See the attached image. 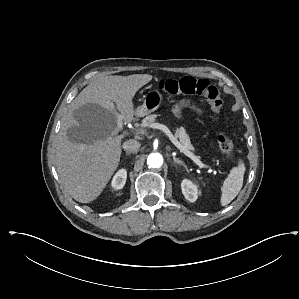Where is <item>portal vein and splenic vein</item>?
<instances>
[{"label":"portal vein and splenic vein","mask_w":299,"mask_h":299,"mask_svg":"<svg viewBox=\"0 0 299 299\" xmlns=\"http://www.w3.org/2000/svg\"><path fill=\"white\" fill-rule=\"evenodd\" d=\"M111 107H114V104L111 103L110 104ZM122 126V119L120 117H118L117 119V127L118 130L121 128ZM154 129H159L162 130L170 139V141L181 151L183 152L185 155H187L189 158H191L200 168H209L208 165H205L204 163H202L199 158L197 156H195L193 153H191L190 151L186 150L181 144L180 142L177 140V138L171 133V131L169 130V128L163 124L160 123H154L151 126Z\"/></svg>","instance_id":"obj_1"}]
</instances>
